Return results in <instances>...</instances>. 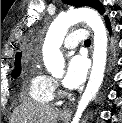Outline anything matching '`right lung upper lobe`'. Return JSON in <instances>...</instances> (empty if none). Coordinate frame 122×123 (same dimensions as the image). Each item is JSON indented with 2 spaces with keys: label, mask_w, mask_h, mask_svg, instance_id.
Returning <instances> with one entry per match:
<instances>
[{
  "label": "right lung upper lobe",
  "mask_w": 122,
  "mask_h": 123,
  "mask_svg": "<svg viewBox=\"0 0 122 123\" xmlns=\"http://www.w3.org/2000/svg\"><path fill=\"white\" fill-rule=\"evenodd\" d=\"M21 56H22V53L21 52L16 53V56H15V67H17V66L20 65Z\"/></svg>",
  "instance_id": "right-lung-upper-lobe-1"
}]
</instances>
